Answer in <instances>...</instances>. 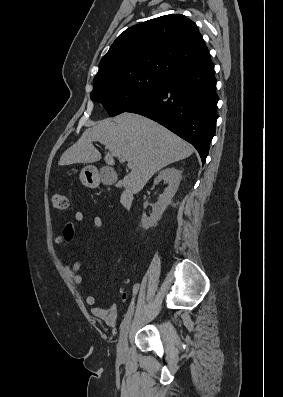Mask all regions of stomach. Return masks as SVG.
<instances>
[{"instance_id": "stomach-1", "label": "stomach", "mask_w": 283, "mask_h": 397, "mask_svg": "<svg viewBox=\"0 0 283 397\" xmlns=\"http://www.w3.org/2000/svg\"><path fill=\"white\" fill-rule=\"evenodd\" d=\"M80 180L86 187L96 188L102 180V175L96 167L88 165L81 170Z\"/></svg>"}]
</instances>
